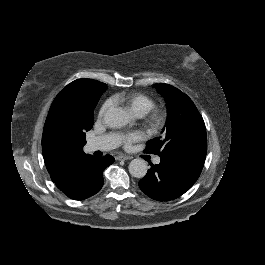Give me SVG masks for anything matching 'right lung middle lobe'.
Returning <instances> with one entry per match:
<instances>
[{
	"mask_svg": "<svg viewBox=\"0 0 265 265\" xmlns=\"http://www.w3.org/2000/svg\"><path fill=\"white\" fill-rule=\"evenodd\" d=\"M104 91L87 95L75 103L72 111V129L68 133V138L72 143L80 147L86 144L85 132L93 127L94 109Z\"/></svg>",
	"mask_w": 265,
	"mask_h": 265,
	"instance_id": "1",
	"label": "right lung middle lobe"
}]
</instances>
